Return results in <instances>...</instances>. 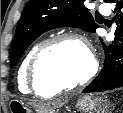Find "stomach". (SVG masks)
Wrapping results in <instances>:
<instances>
[{
  "label": "stomach",
  "mask_w": 123,
  "mask_h": 113,
  "mask_svg": "<svg viewBox=\"0 0 123 113\" xmlns=\"http://www.w3.org/2000/svg\"><path fill=\"white\" fill-rule=\"evenodd\" d=\"M102 98L101 97H95L93 95H84L78 99L76 102V109L78 111L84 112V113H90L99 106L101 103ZM11 111L14 110L19 113H33V111L25 105L22 101L19 100H12L10 102ZM37 113H55V110L50 109L43 112H37Z\"/></svg>",
  "instance_id": "stomach-1"
}]
</instances>
